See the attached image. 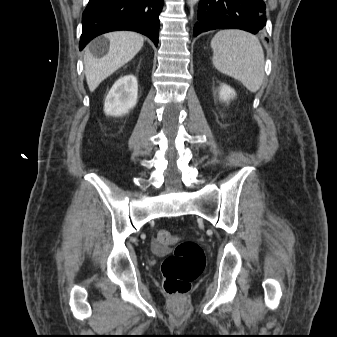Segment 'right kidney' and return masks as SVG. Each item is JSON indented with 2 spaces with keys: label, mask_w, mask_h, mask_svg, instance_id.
<instances>
[{
  "label": "right kidney",
  "mask_w": 337,
  "mask_h": 337,
  "mask_svg": "<svg viewBox=\"0 0 337 337\" xmlns=\"http://www.w3.org/2000/svg\"><path fill=\"white\" fill-rule=\"evenodd\" d=\"M138 83L134 75L120 77L110 89L104 103L106 115L121 116L135 107Z\"/></svg>",
  "instance_id": "right-kidney-1"
}]
</instances>
